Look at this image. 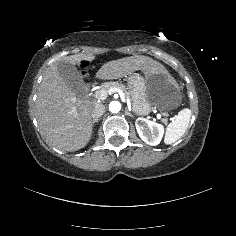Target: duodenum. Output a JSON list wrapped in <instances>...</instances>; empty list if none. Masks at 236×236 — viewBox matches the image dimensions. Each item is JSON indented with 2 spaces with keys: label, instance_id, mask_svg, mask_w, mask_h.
Segmentation results:
<instances>
[{
  "label": "duodenum",
  "instance_id": "duodenum-1",
  "mask_svg": "<svg viewBox=\"0 0 236 236\" xmlns=\"http://www.w3.org/2000/svg\"><path fill=\"white\" fill-rule=\"evenodd\" d=\"M84 86H85V90H88L91 86V82H88V81L85 82Z\"/></svg>",
  "mask_w": 236,
  "mask_h": 236
}]
</instances>
